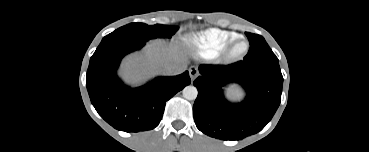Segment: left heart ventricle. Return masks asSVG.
<instances>
[{"mask_svg":"<svg viewBox=\"0 0 369 152\" xmlns=\"http://www.w3.org/2000/svg\"><path fill=\"white\" fill-rule=\"evenodd\" d=\"M244 48V44H239L237 50H242Z\"/></svg>","mask_w":369,"mask_h":152,"instance_id":"b2bd125f","label":"left heart ventricle"}]
</instances>
